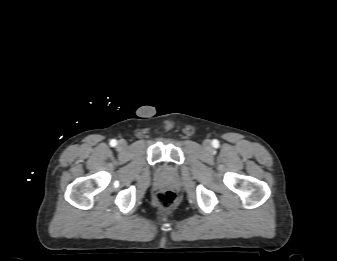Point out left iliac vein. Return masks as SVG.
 <instances>
[{
  "instance_id": "1",
  "label": "left iliac vein",
  "mask_w": 337,
  "mask_h": 261,
  "mask_svg": "<svg viewBox=\"0 0 337 261\" xmlns=\"http://www.w3.org/2000/svg\"><path fill=\"white\" fill-rule=\"evenodd\" d=\"M204 145H205V147L208 148V149L211 147V143H210L209 140H206V141L204 142Z\"/></svg>"
}]
</instances>
